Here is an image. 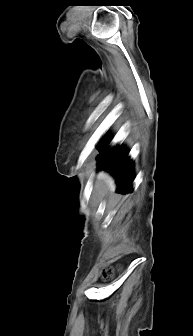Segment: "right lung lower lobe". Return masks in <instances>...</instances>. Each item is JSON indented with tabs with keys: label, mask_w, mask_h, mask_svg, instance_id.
<instances>
[{
	"label": "right lung lower lobe",
	"mask_w": 193,
	"mask_h": 336,
	"mask_svg": "<svg viewBox=\"0 0 193 336\" xmlns=\"http://www.w3.org/2000/svg\"><path fill=\"white\" fill-rule=\"evenodd\" d=\"M101 167L114 173L120 191L131 189L133 182V163L128 159V152L121 147L102 148Z\"/></svg>",
	"instance_id": "right-lung-lower-lobe-1"
}]
</instances>
